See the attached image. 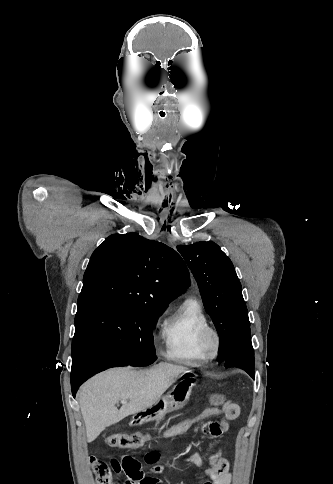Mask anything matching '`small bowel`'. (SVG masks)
<instances>
[{
  "label": "small bowel",
  "instance_id": "1",
  "mask_svg": "<svg viewBox=\"0 0 333 484\" xmlns=\"http://www.w3.org/2000/svg\"><path fill=\"white\" fill-rule=\"evenodd\" d=\"M210 402L213 407L218 408V415L224 417L215 422H207L203 426L205 434L210 438L215 439L228 431L229 424L227 420L238 417L239 406L218 394L211 395ZM186 460L193 463L196 467L203 469L205 475L203 484L231 483L232 475L229 471V463L225 458L221 457L219 453L211 455L210 463L207 467H203L202 458L197 453L187 456ZM103 463L106 464L105 462ZM109 466L116 474L125 475L127 477L125 484H157L161 482L158 478V475L163 469L161 465L155 466L150 472L146 473L143 471L138 460L131 456H124L121 459H111Z\"/></svg>",
  "mask_w": 333,
  "mask_h": 484
}]
</instances>
